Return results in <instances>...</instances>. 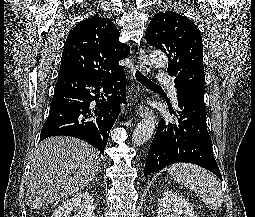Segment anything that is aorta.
Returning a JSON list of instances; mask_svg holds the SVG:
<instances>
[{
  "label": "aorta",
  "instance_id": "obj_1",
  "mask_svg": "<svg viewBox=\"0 0 255 217\" xmlns=\"http://www.w3.org/2000/svg\"><path fill=\"white\" fill-rule=\"evenodd\" d=\"M150 61L151 63L157 67H165L168 60L166 55L158 50L152 51L150 53ZM155 130V121L152 119H144L142 120L137 127L135 128L133 135H132V143L134 146L143 145L147 142L153 132Z\"/></svg>",
  "mask_w": 255,
  "mask_h": 217
}]
</instances>
